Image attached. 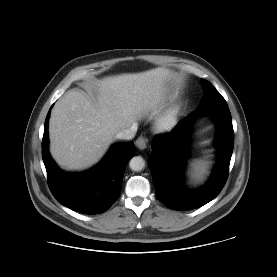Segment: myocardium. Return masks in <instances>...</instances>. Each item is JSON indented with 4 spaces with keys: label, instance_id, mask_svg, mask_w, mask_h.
<instances>
[{
    "label": "myocardium",
    "instance_id": "1",
    "mask_svg": "<svg viewBox=\"0 0 277 277\" xmlns=\"http://www.w3.org/2000/svg\"><path fill=\"white\" fill-rule=\"evenodd\" d=\"M178 112L171 110L166 113L158 123V129L162 132L169 131L174 127L177 121Z\"/></svg>",
    "mask_w": 277,
    "mask_h": 277
}]
</instances>
